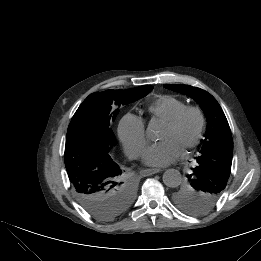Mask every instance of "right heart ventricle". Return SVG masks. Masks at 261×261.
<instances>
[{"label":"right heart ventricle","instance_id":"1","mask_svg":"<svg viewBox=\"0 0 261 261\" xmlns=\"http://www.w3.org/2000/svg\"><path fill=\"white\" fill-rule=\"evenodd\" d=\"M186 105L183 100L166 95L153 101L148 107V112L157 118L168 121Z\"/></svg>","mask_w":261,"mask_h":261}]
</instances>
